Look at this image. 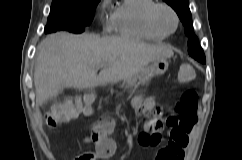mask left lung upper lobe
Segmentation results:
<instances>
[{
    "label": "left lung upper lobe",
    "instance_id": "1",
    "mask_svg": "<svg viewBox=\"0 0 242 160\" xmlns=\"http://www.w3.org/2000/svg\"><path fill=\"white\" fill-rule=\"evenodd\" d=\"M167 4H169L178 14L180 20L184 25V31L187 36H189L188 40V53L194 59L199 62L205 63V55L199 44L198 38L194 35L193 32V24H192V16L189 9V0H164Z\"/></svg>",
    "mask_w": 242,
    "mask_h": 160
}]
</instances>
